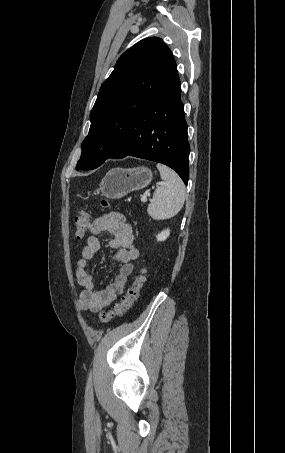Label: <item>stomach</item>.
<instances>
[{"mask_svg":"<svg viewBox=\"0 0 285 453\" xmlns=\"http://www.w3.org/2000/svg\"><path fill=\"white\" fill-rule=\"evenodd\" d=\"M149 168H113L109 170L99 185L102 195L108 199H120L130 192L147 187L152 180Z\"/></svg>","mask_w":285,"mask_h":453,"instance_id":"obj_1","label":"stomach"}]
</instances>
